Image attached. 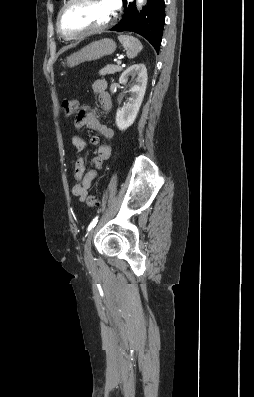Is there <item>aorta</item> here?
Listing matches in <instances>:
<instances>
[{"label":"aorta","instance_id":"aorta-1","mask_svg":"<svg viewBox=\"0 0 254 397\" xmlns=\"http://www.w3.org/2000/svg\"><path fill=\"white\" fill-rule=\"evenodd\" d=\"M139 4H142L144 0H137Z\"/></svg>","mask_w":254,"mask_h":397}]
</instances>
